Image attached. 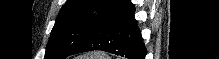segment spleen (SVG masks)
Listing matches in <instances>:
<instances>
[{"label":"spleen","instance_id":"1","mask_svg":"<svg viewBox=\"0 0 219 59\" xmlns=\"http://www.w3.org/2000/svg\"><path fill=\"white\" fill-rule=\"evenodd\" d=\"M104 58L106 57L101 53H95L94 55H90L89 57H87V59H104Z\"/></svg>","mask_w":219,"mask_h":59}]
</instances>
